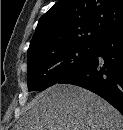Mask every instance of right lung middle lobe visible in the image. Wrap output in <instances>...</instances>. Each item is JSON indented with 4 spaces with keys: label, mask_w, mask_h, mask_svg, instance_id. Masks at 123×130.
<instances>
[{
    "label": "right lung middle lobe",
    "mask_w": 123,
    "mask_h": 130,
    "mask_svg": "<svg viewBox=\"0 0 123 130\" xmlns=\"http://www.w3.org/2000/svg\"><path fill=\"white\" fill-rule=\"evenodd\" d=\"M93 44L73 45L28 61L29 91H44L76 70L94 51Z\"/></svg>",
    "instance_id": "obj_1"
}]
</instances>
